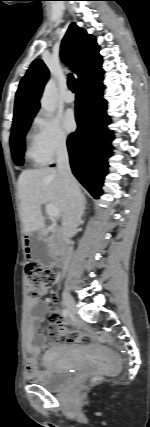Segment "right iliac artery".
I'll return each instance as SVG.
<instances>
[{
    "label": "right iliac artery",
    "instance_id": "1",
    "mask_svg": "<svg viewBox=\"0 0 150 427\" xmlns=\"http://www.w3.org/2000/svg\"><path fill=\"white\" fill-rule=\"evenodd\" d=\"M62 314H63L64 317H67L68 314H69V312H68L67 309H63Z\"/></svg>",
    "mask_w": 150,
    "mask_h": 427
}]
</instances>
